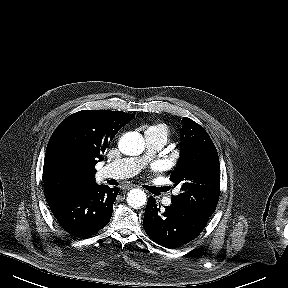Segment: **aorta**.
<instances>
[{
  "label": "aorta",
  "instance_id": "1",
  "mask_svg": "<svg viewBox=\"0 0 288 288\" xmlns=\"http://www.w3.org/2000/svg\"><path fill=\"white\" fill-rule=\"evenodd\" d=\"M145 146L144 138L138 132L124 134L118 144L119 150L130 156H136L143 152ZM147 201V196L141 189H132L127 194V203L133 208H140Z\"/></svg>",
  "mask_w": 288,
  "mask_h": 288
}]
</instances>
